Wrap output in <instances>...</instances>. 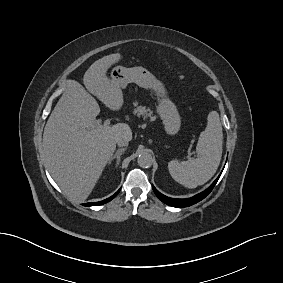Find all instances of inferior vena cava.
I'll use <instances>...</instances> for the list:
<instances>
[{"label": "inferior vena cava", "instance_id": "obj_1", "mask_svg": "<svg viewBox=\"0 0 283 283\" xmlns=\"http://www.w3.org/2000/svg\"><path fill=\"white\" fill-rule=\"evenodd\" d=\"M128 143H129V141L126 140V139L120 138V139L117 140V145H118L119 147L127 146Z\"/></svg>", "mask_w": 283, "mask_h": 283}]
</instances>
